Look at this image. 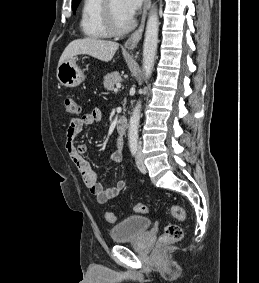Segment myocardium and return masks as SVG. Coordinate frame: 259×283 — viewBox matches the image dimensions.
I'll list each match as a JSON object with an SVG mask.
<instances>
[{"mask_svg": "<svg viewBox=\"0 0 259 283\" xmlns=\"http://www.w3.org/2000/svg\"><path fill=\"white\" fill-rule=\"evenodd\" d=\"M102 14L105 26L111 35L121 36L128 33L134 27V21L131 19L125 26H120L114 16L111 0H104Z\"/></svg>", "mask_w": 259, "mask_h": 283, "instance_id": "myocardium-1", "label": "myocardium"}]
</instances>
